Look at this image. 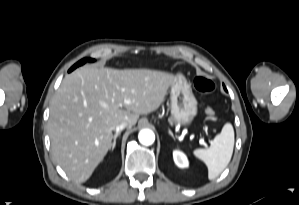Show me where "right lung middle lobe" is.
Listing matches in <instances>:
<instances>
[{
    "instance_id": "right-lung-middle-lobe-1",
    "label": "right lung middle lobe",
    "mask_w": 299,
    "mask_h": 205,
    "mask_svg": "<svg viewBox=\"0 0 299 205\" xmlns=\"http://www.w3.org/2000/svg\"><path fill=\"white\" fill-rule=\"evenodd\" d=\"M87 61L89 62H94L95 60L92 58H84L82 60H80L79 62H77L74 66L71 67V69L69 71H72L73 69H75L76 67L83 65L84 63H86Z\"/></svg>"
}]
</instances>
